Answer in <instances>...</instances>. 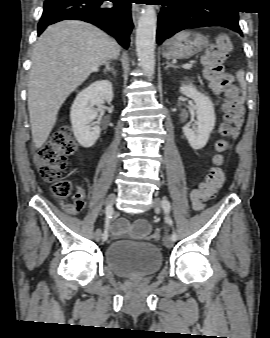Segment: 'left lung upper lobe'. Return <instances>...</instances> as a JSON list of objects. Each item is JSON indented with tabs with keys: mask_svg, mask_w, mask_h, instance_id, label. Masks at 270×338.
<instances>
[{
	"mask_svg": "<svg viewBox=\"0 0 270 338\" xmlns=\"http://www.w3.org/2000/svg\"><path fill=\"white\" fill-rule=\"evenodd\" d=\"M215 1L221 2L222 0H215Z\"/></svg>",
	"mask_w": 270,
	"mask_h": 338,
	"instance_id": "1",
	"label": "left lung upper lobe"
}]
</instances>
